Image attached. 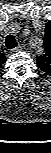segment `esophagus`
Wrapping results in <instances>:
<instances>
[{
  "instance_id": "34e87169",
  "label": "esophagus",
  "mask_w": 51,
  "mask_h": 153,
  "mask_svg": "<svg viewBox=\"0 0 51 153\" xmlns=\"http://www.w3.org/2000/svg\"><path fill=\"white\" fill-rule=\"evenodd\" d=\"M11 51H12V52H19V51H22V47L17 46V47H15L14 49H12Z\"/></svg>"
}]
</instances>
